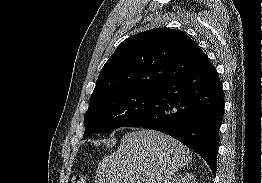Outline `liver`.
<instances>
[{
	"label": "liver",
	"mask_w": 262,
	"mask_h": 183,
	"mask_svg": "<svg viewBox=\"0 0 262 183\" xmlns=\"http://www.w3.org/2000/svg\"><path fill=\"white\" fill-rule=\"evenodd\" d=\"M192 160L190 150L155 130L126 133L116 152L98 164L95 183H169Z\"/></svg>",
	"instance_id": "liver-1"
}]
</instances>
